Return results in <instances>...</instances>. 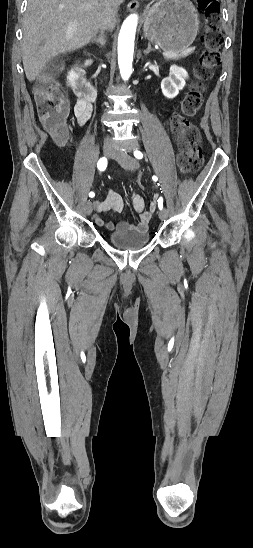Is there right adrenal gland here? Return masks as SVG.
Returning <instances> with one entry per match:
<instances>
[{
    "label": "right adrenal gland",
    "mask_w": 253,
    "mask_h": 548,
    "mask_svg": "<svg viewBox=\"0 0 253 548\" xmlns=\"http://www.w3.org/2000/svg\"><path fill=\"white\" fill-rule=\"evenodd\" d=\"M91 42L98 44L100 47H103L105 45V35L101 34L98 38L93 39Z\"/></svg>",
    "instance_id": "right-adrenal-gland-1"
}]
</instances>
